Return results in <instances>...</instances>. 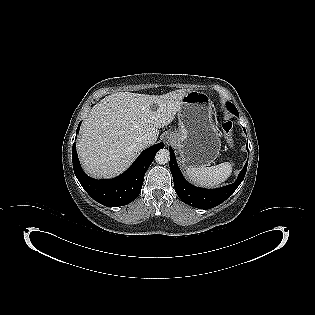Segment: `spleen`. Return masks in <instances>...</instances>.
<instances>
[{
    "label": "spleen",
    "instance_id": "obj_1",
    "mask_svg": "<svg viewBox=\"0 0 315 315\" xmlns=\"http://www.w3.org/2000/svg\"><path fill=\"white\" fill-rule=\"evenodd\" d=\"M233 164L224 162L216 166H191L186 169L187 177L204 187H215L227 180L232 173Z\"/></svg>",
    "mask_w": 315,
    "mask_h": 315
}]
</instances>
